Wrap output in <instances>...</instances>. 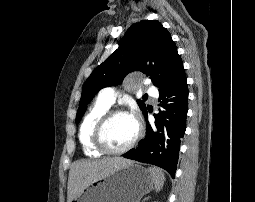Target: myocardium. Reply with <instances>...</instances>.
<instances>
[{"label":"myocardium","mask_w":255,"mask_h":202,"mask_svg":"<svg viewBox=\"0 0 255 202\" xmlns=\"http://www.w3.org/2000/svg\"><path fill=\"white\" fill-rule=\"evenodd\" d=\"M118 115H129L130 116V114L123 109H119V108L109 109L100 117V119L97 121V123L94 127L92 141H93V144L95 145V147L98 150H100L102 153L114 154V155L123 154V153L129 151L131 148H133L142 136V127H141L140 123L138 121H136V124H137L136 134L128 144H126L124 147L119 148V149H113V148L109 147L105 141V138H104L105 129H106L108 123L115 116H118Z\"/></svg>","instance_id":"obj_1"}]
</instances>
